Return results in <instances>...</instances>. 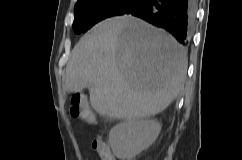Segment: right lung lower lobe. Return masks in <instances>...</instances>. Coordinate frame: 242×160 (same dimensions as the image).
<instances>
[{"instance_id":"1","label":"right lung lower lobe","mask_w":242,"mask_h":160,"mask_svg":"<svg viewBox=\"0 0 242 160\" xmlns=\"http://www.w3.org/2000/svg\"><path fill=\"white\" fill-rule=\"evenodd\" d=\"M195 4L196 0H142L125 14L163 28L187 45L195 19Z\"/></svg>"}]
</instances>
